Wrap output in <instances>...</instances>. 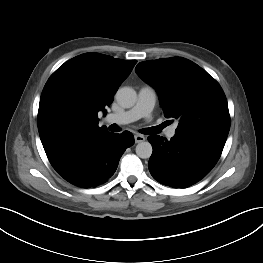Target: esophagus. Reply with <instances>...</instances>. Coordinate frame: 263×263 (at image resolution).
I'll use <instances>...</instances> for the list:
<instances>
[{"label":"esophagus","mask_w":263,"mask_h":263,"mask_svg":"<svg viewBox=\"0 0 263 263\" xmlns=\"http://www.w3.org/2000/svg\"><path fill=\"white\" fill-rule=\"evenodd\" d=\"M134 138H135V142H136V143H140V142L145 141V137H144L143 135H141V134H136V135L134 136Z\"/></svg>","instance_id":"esophagus-1"}]
</instances>
